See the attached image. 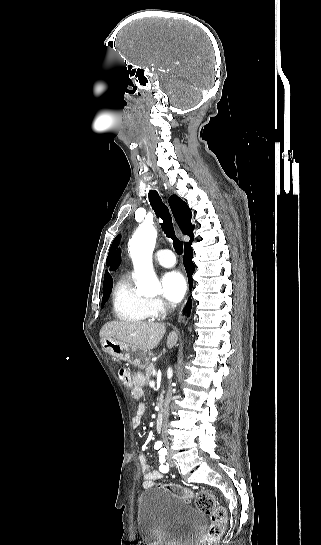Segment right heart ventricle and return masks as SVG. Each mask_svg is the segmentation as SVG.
Masks as SVG:
<instances>
[{
	"instance_id": "e07e8e85",
	"label": "right heart ventricle",
	"mask_w": 321,
	"mask_h": 545,
	"mask_svg": "<svg viewBox=\"0 0 321 545\" xmlns=\"http://www.w3.org/2000/svg\"><path fill=\"white\" fill-rule=\"evenodd\" d=\"M111 303L113 316L121 322L142 324L152 319L146 303L136 295L131 282L124 274L117 278Z\"/></svg>"
}]
</instances>
